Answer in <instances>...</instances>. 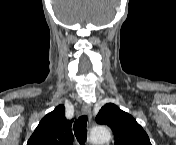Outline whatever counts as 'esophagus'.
<instances>
[{
  "label": "esophagus",
  "mask_w": 176,
  "mask_h": 145,
  "mask_svg": "<svg viewBox=\"0 0 176 145\" xmlns=\"http://www.w3.org/2000/svg\"><path fill=\"white\" fill-rule=\"evenodd\" d=\"M82 114L86 115L89 120H91L92 114H91V108L88 105H85L82 108Z\"/></svg>",
  "instance_id": "34e87169"
}]
</instances>
